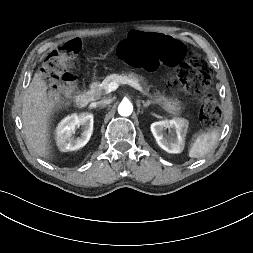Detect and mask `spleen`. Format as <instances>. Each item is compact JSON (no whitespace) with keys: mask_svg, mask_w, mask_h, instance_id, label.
Listing matches in <instances>:
<instances>
[{"mask_svg":"<svg viewBox=\"0 0 253 253\" xmlns=\"http://www.w3.org/2000/svg\"><path fill=\"white\" fill-rule=\"evenodd\" d=\"M219 138V130L215 129L197 136L189 150L190 158H200L209 153Z\"/></svg>","mask_w":253,"mask_h":253,"instance_id":"spleen-1","label":"spleen"}]
</instances>
